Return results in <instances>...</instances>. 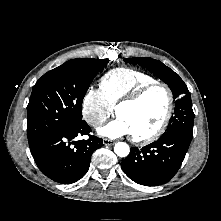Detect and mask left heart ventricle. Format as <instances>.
Instances as JSON below:
<instances>
[{
  "instance_id": "b2bd125f",
  "label": "left heart ventricle",
  "mask_w": 221,
  "mask_h": 221,
  "mask_svg": "<svg viewBox=\"0 0 221 221\" xmlns=\"http://www.w3.org/2000/svg\"><path fill=\"white\" fill-rule=\"evenodd\" d=\"M167 102L164 89L156 87L137 104L121 107L117 116L126 122L133 136H145L153 132L161 123Z\"/></svg>"
}]
</instances>
